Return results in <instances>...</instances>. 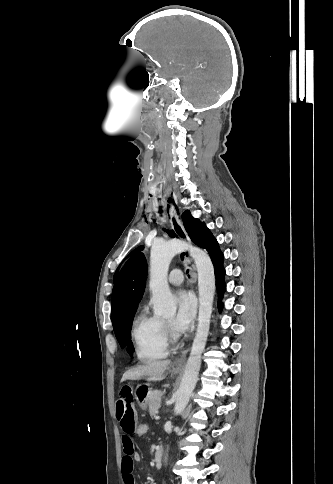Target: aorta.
Returning a JSON list of instances; mask_svg holds the SVG:
<instances>
[{"instance_id": "762f6f07", "label": "aorta", "mask_w": 333, "mask_h": 484, "mask_svg": "<svg viewBox=\"0 0 333 484\" xmlns=\"http://www.w3.org/2000/svg\"><path fill=\"white\" fill-rule=\"evenodd\" d=\"M184 250L189 251L198 271L199 313L196 336L192 343L184 375L176 395L174 412L177 415L186 408L198 380L202 353L208 338L213 310L215 294L214 267L206 251L177 239L155 244L150 256L149 288L152 292L154 312L162 316H174L176 314L177 301L170 291L167 275L169 264L173 257Z\"/></svg>"}]
</instances>
